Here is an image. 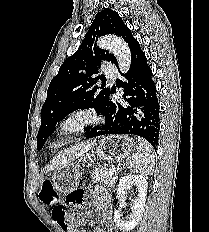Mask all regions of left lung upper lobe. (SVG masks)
Segmentation results:
<instances>
[{
    "label": "left lung upper lobe",
    "instance_id": "left-lung-upper-lobe-1",
    "mask_svg": "<svg viewBox=\"0 0 209 232\" xmlns=\"http://www.w3.org/2000/svg\"><path fill=\"white\" fill-rule=\"evenodd\" d=\"M114 34L123 38L129 45L136 39L116 11L104 9L98 12L77 52L61 65L58 74L52 79L47 98L41 110V126L37 136V149L40 150L53 128L69 113L77 109L94 108L103 114L109 101L110 90L96 86L93 77L101 66V61L109 60L117 66L113 54L96 45L98 37ZM89 130H86V134Z\"/></svg>",
    "mask_w": 209,
    "mask_h": 232
}]
</instances>
